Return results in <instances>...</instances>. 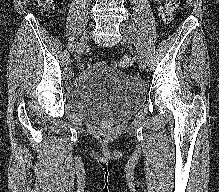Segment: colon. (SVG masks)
I'll return each mask as SVG.
<instances>
[{
	"instance_id": "colon-1",
	"label": "colon",
	"mask_w": 219,
	"mask_h": 192,
	"mask_svg": "<svg viewBox=\"0 0 219 192\" xmlns=\"http://www.w3.org/2000/svg\"><path fill=\"white\" fill-rule=\"evenodd\" d=\"M34 4L43 12L48 13L54 8V0H33ZM176 8V0H167L162 9L163 23L169 24L173 20L174 11ZM134 58L130 55H125L119 61L114 62L113 66L118 68H127L133 65ZM89 65H93V61H89Z\"/></svg>"
}]
</instances>
